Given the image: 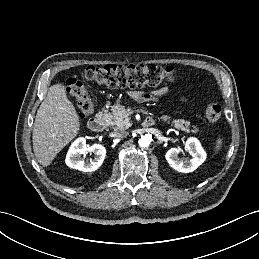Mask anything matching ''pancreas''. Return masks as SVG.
<instances>
[{
	"instance_id": "1",
	"label": "pancreas",
	"mask_w": 259,
	"mask_h": 259,
	"mask_svg": "<svg viewBox=\"0 0 259 259\" xmlns=\"http://www.w3.org/2000/svg\"><path fill=\"white\" fill-rule=\"evenodd\" d=\"M109 123L112 126H115L119 129H127L131 126L130 118L127 110L124 106L120 104H116L113 106L111 113L108 114ZM171 126H173L176 129H180L182 131H185L187 133H197L198 129L196 126H193V129L190 130V121L184 120V119H178L174 120L171 123Z\"/></svg>"
}]
</instances>
